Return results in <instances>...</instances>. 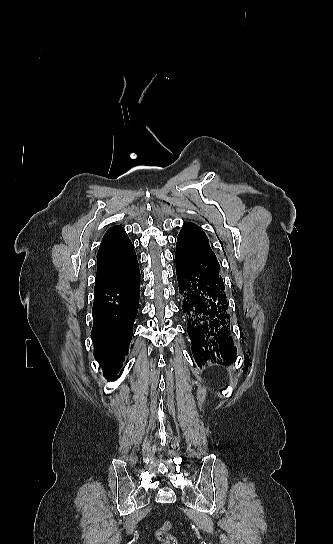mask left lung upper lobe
I'll return each mask as SVG.
<instances>
[{
	"mask_svg": "<svg viewBox=\"0 0 333 544\" xmlns=\"http://www.w3.org/2000/svg\"><path fill=\"white\" fill-rule=\"evenodd\" d=\"M176 248L187 250L199 260L220 269L219 262L209 246L208 238L200 227L186 222L178 235Z\"/></svg>",
	"mask_w": 333,
	"mask_h": 544,
	"instance_id": "5c2ea615",
	"label": "left lung upper lobe"
}]
</instances>
